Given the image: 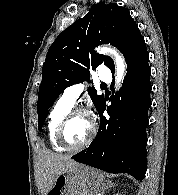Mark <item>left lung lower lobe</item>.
I'll list each match as a JSON object with an SVG mask.
<instances>
[{"instance_id":"left-lung-lower-lobe-1","label":"left lung lower lobe","mask_w":178,"mask_h":195,"mask_svg":"<svg viewBox=\"0 0 178 195\" xmlns=\"http://www.w3.org/2000/svg\"><path fill=\"white\" fill-rule=\"evenodd\" d=\"M146 51L127 65L122 88L112 96L103 116V98L98 113L100 127L90 146L72 159L109 173H128L142 180L146 173L147 111L151 106V70ZM112 88H114L112 86Z\"/></svg>"}]
</instances>
